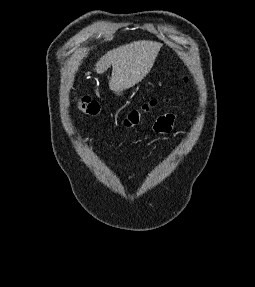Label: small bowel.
Wrapping results in <instances>:
<instances>
[{"label":"small bowel","instance_id":"1","mask_svg":"<svg viewBox=\"0 0 255 287\" xmlns=\"http://www.w3.org/2000/svg\"><path fill=\"white\" fill-rule=\"evenodd\" d=\"M174 124V116L166 115L159 117L154 124V131L157 133H167L169 132Z\"/></svg>","mask_w":255,"mask_h":287}]
</instances>
